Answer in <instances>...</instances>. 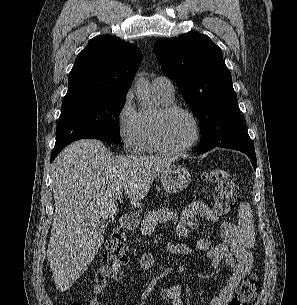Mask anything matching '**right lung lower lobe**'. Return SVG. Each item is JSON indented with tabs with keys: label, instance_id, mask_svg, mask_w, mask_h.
Returning a JSON list of instances; mask_svg holds the SVG:
<instances>
[{
	"label": "right lung lower lobe",
	"instance_id": "right-lung-lower-lobe-1",
	"mask_svg": "<svg viewBox=\"0 0 297 305\" xmlns=\"http://www.w3.org/2000/svg\"><path fill=\"white\" fill-rule=\"evenodd\" d=\"M63 148H54L52 151L51 155V162L55 159V157L58 155V153L62 150Z\"/></svg>",
	"mask_w": 297,
	"mask_h": 305
}]
</instances>
